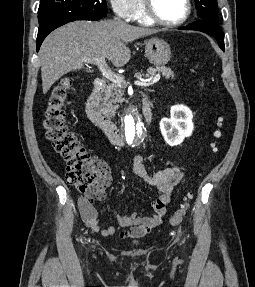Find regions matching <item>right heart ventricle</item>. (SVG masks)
I'll return each instance as SVG.
<instances>
[{"label":"right heart ventricle","mask_w":255,"mask_h":287,"mask_svg":"<svg viewBox=\"0 0 255 287\" xmlns=\"http://www.w3.org/2000/svg\"><path fill=\"white\" fill-rule=\"evenodd\" d=\"M125 33H144V32H125ZM131 39H153V38H131ZM159 48H169V47H159Z\"/></svg>","instance_id":"1"}]
</instances>
